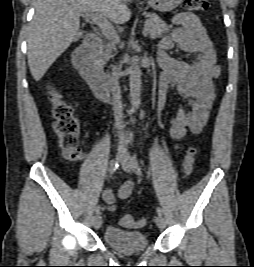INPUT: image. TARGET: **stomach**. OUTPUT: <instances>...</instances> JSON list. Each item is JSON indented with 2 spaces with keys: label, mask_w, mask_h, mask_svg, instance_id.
I'll return each instance as SVG.
<instances>
[{
  "label": "stomach",
  "mask_w": 254,
  "mask_h": 267,
  "mask_svg": "<svg viewBox=\"0 0 254 267\" xmlns=\"http://www.w3.org/2000/svg\"><path fill=\"white\" fill-rule=\"evenodd\" d=\"M182 0H148V4L159 12H169L180 5Z\"/></svg>",
  "instance_id": "0dacf381"
}]
</instances>
